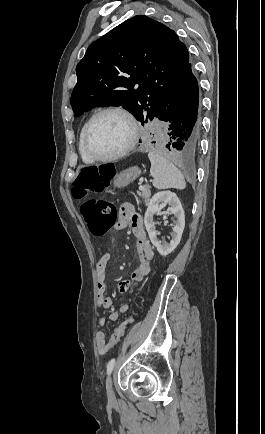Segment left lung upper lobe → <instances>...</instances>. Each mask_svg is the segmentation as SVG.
<instances>
[{
    "mask_svg": "<svg viewBox=\"0 0 265 434\" xmlns=\"http://www.w3.org/2000/svg\"><path fill=\"white\" fill-rule=\"evenodd\" d=\"M188 62V50L172 29L143 15L128 19L92 43L77 64L74 116L122 105L142 124L153 120Z\"/></svg>",
    "mask_w": 265,
    "mask_h": 434,
    "instance_id": "1",
    "label": "left lung upper lobe"
}]
</instances>
